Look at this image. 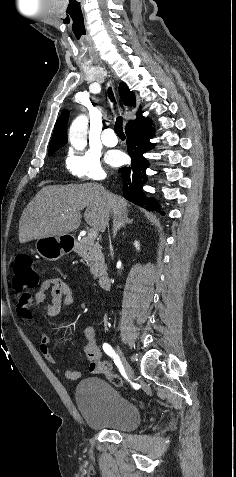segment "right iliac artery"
<instances>
[{"label":"right iliac artery","instance_id":"1","mask_svg":"<svg viewBox=\"0 0 236 477\" xmlns=\"http://www.w3.org/2000/svg\"><path fill=\"white\" fill-rule=\"evenodd\" d=\"M103 350L104 352L110 356L113 360H114V363L116 364V366L118 368H122V364H121V361H120V358L119 356L115 353L114 349L111 347V345H109L108 343H104L103 344Z\"/></svg>","mask_w":236,"mask_h":477}]
</instances>
